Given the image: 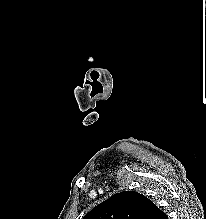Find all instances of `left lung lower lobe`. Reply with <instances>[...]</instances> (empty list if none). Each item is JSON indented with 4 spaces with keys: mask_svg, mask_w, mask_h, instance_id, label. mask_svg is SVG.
<instances>
[{
    "mask_svg": "<svg viewBox=\"0 0 206 219\" xmlns=\"http://www.w3.org/2000/svg\"><path fill=\"white\" fill-rule=\"evenodd\" d=\"M151 219H168V217L163 211L154 205Z\"/></svg>",
    "mask_w": 206,
    "mask_h": 219,
    "instance_id": "obj_1",
    "label": "left lung lower lobe"
}]
</instances>
